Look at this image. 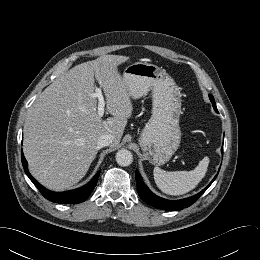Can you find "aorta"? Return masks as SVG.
Masks as SVG:
<instances>
[{
	"label": "aorta",
	"instance_id": "762f6f07",
	"mask_svg": "<svg viewBox=\"0 0 260 260\" xmlns=\"http://www.w3.org/2000/svg\"><path fill=\"white\" fill-rule=\"evenodd\" d=\"M116 162L120 166H129L133 162V155L127 149H121L116 153Z\"/></svg>",
	"mask_w": 260,
	"mask_h": 260
}]
</instances>
